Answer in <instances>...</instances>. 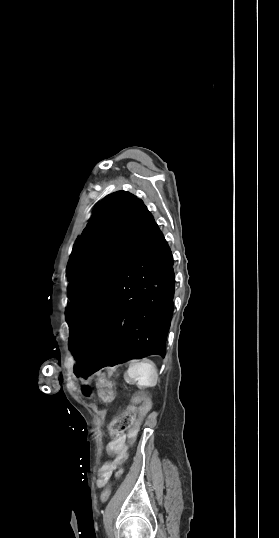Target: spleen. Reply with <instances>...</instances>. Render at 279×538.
I'll return each mask as SVG.
<instances>
[{
  "mask_svg": "<svg viewBox=\"0 0 279 538\" xmlns=\"http://www.w3.org/2000/svg\"><path fill=\"white\" fill-rule=\"evenodd\" d=\"M136 362V360H134ZM128 376H133L135 381L141 378L138 382V387L149 388L155 386L158 380V374L155 364L153 362H138V364H132L128 370Z\"/></svg>",
  "mask_w": 279,
  "mask_h": 538,
  "instance_id": "1",
  "label": "spleen"
}]
</instances>
